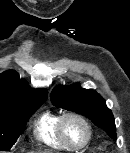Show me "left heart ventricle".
<instances>
[{
  "label": "left heart ventricle",
  "instance_id": "b2bd125f",
  "mask_svg": "<svg viewBox=\"0 0 130 153\" xmlns=\"http://www.w3.org/2000/svg\"><path fill=\"white\" fill-rule=\"evenodd\" d=\"M67 139L74 145L82 144L87 136L84 126L76 119L69 118L64 124Z\"/></svg>",
  "mask_w": 130,
  "mask_h": 153
}]
</instances>
